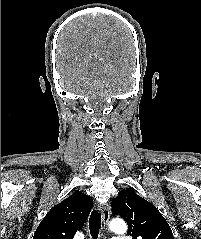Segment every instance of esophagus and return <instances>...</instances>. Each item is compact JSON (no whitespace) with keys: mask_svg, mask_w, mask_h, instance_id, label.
<instances>
[{"mask_svg":"<svg viewBox=\"0 0 201 239\" xmlns=\"http://www.w3.org/2000/svg\"><path fill=\"white\" fill-rule=\"evenodd\" d=\"M99 210L101 211L102 214V219L104 225H108L109 220H110V205L109 204H104V205H99Z\"/></svg>","mask_w":201,"mask_h":239,"instance_id":"34e87169","label":"esophagus"}]
</instances>
